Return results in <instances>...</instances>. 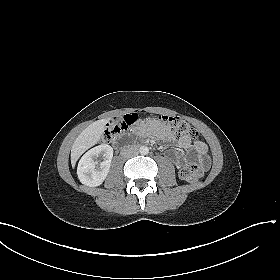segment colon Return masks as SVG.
Here are the masks:
<instances>
[{"label":"colon","instance_id":"5ec220e1","mask_svg":"<svg viewBox=\"0 0 280 280\" xmlns=\"http://www.w3.org/2000/svg\"><path fill=\"white\" fill-rule=\"evenodd\" d=\"M158 119L166 128L178 136H186L192 139L197 136V130L186 120L178 116L162 115ZM137 121L138 116L136 114H128L122 120L110 123L104 131L103 141H114L122 131ZM203 174L202 168L194 163L184 166L180 171L181 178L191 183L199 181Z\"/></svg>","mask_w":280,"mask_h":280}]
</instances>
